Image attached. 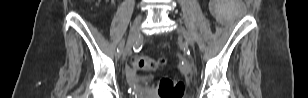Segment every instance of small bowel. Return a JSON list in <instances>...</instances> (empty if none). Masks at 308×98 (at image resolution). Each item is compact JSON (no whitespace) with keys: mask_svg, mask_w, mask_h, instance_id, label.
Instances as JSON below:
<instances>
[{"mask_svg":"<svg viewBox=\"0 0 308 98\" xmlns=\"http://www.w3.org/2000/svg\"><path fill=\"white\" fill-rule=\"evenodd\" d=\"M129 76H130V78H133L134 77V74H133V72H129ZM183 83V82H182Z\"/></svg>","mask_w":308,"mask_h":98,"instance_id":"1","label":"small bowel"}]
</instances>
